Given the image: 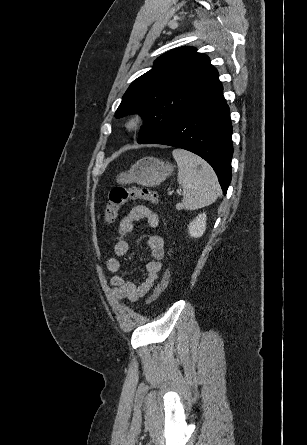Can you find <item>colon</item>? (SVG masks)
I'll use <instances>...</instances> for the list:
<instances>
[{
    "label": "colon",
    "mask_w": 307,
    "mask_h": 445,
    "mask_svg": "<svg viewBox=\"0 0 307 445\" xmlns=\"http://www.w3.org/2000/svg\"><path fill=\"white\" fill-rule=\"evenodd\" d=\"M128 200H145L151 204H157L158 195L155 191L146 188H124L114 187L109 192V200L104 212L105 224H111L115 221L120 207ZM170 270L167 269L161 281L155 287L153 293L147 300V304L156 301L167 288L170 281Z\"/></svg>",
    "instance_id": "colon-1"
}]
</instances>
